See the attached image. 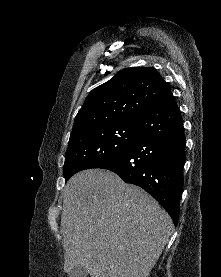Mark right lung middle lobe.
Here are the masks:
<instances>
[{
  "mask_svg": "<svg viewBox=\"0 0 221 277\" xmlns=\"http://www.w3.org/2000/svg\"><path fill=\"white\" fill-rule=\"evenodd\" d=\"M137 134V121L96 126L70 136L63 174L99 168L126 153Z\"/></svg>",
  "mask_w": 221,
  "mask_h": 277,
  "instance_id": "dd1d6c3e",
  "label": "right lung middle lobe"
}]
</instances>
